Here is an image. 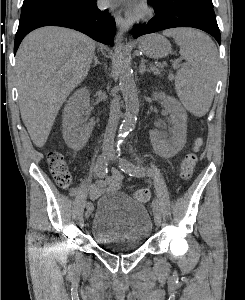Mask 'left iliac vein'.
Listing matches in <instances>:
<instances>
[{
  "instance_id": "left-iliac-vein-1",
  "label": "left iliac vein",
  "mask_w": 245,
  "mask_h": 300,
  "mask_svg": "<svg viewBox=\"0 0 245 300\" xmlns=\"http://www.w3.org/2000/svg\"><path fill=\"white\" fill-rule=\"evenodd\" d=\"M109 160L110 161H114L115 160V158H114V156L112 154L110 155ZM154 222H155L156 226H158V227L161 226V222H162L161 216L158 215V214H155L154 215Z\"/></svg>"
}]
</instances>
